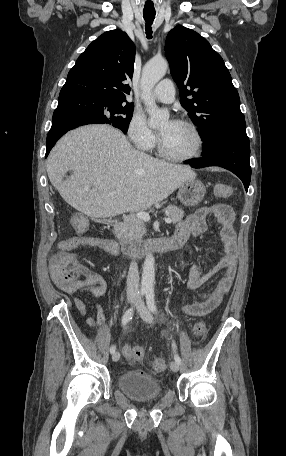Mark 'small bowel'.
<instances>
[{
	"label": "small bowel",
	"instance_id": "c3829d8e",
	"mask_svg": "<svg viewBox=\"0 0 286 456\" xmlns=\"http://www.w3.org/2000/svg\"><path fill=\"white\" fill-rule=\"evenodd\" d=\"M211 221L221 226V242L224 256L221 262L212 269H207L204 265H193L188 271L187 284L191 289L198 291L217 272L223 270L224 275L211 293L202 295L201 300L198 302L182 306V312L192 317L204 316L216 309L224 295L229 291L236 275L239 249L236 243V233L233 228L234 212L230 206L217 204L199 208L196 212L178 222L174 235L181 236L185 240L188 239L190 234L201 235L208 230ZM65 246L69 247L70 250L78 247H88L100 249L114 256L120 254L119 247L113 240L101 236H73L60 243V248ZM56 286L68 294L74 295L77 292H86L94 297L104 296L108 289L105 278L97 272L87 273L84 283L74 291L67 290L57 283ZM74 303L83 315H87V308L82 299L74 296ZM105 322L106 318L103 307L97 303L96 314L88 315L87 323L89 326H94L96 323L103 326ZM135 347L133 345L123 346L122 349L126 358V353Z\"/></svg>",
	"mask_w": 286,
	"mask_h": 456
}]
</instances>
